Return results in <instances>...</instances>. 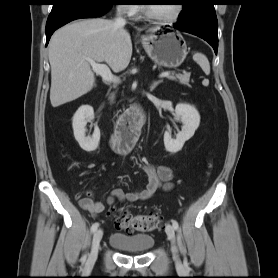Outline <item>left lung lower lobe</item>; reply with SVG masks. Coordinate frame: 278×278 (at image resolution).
<instances>
[{
  "label": "left lung lower lobe",
  "mask_w": 278,
  "mask_h": 278,
  "mask_svg": "<svg viewBox=\"0 0 278 278\" xmlns=\"http://www.w3.org/2000/svg\"><path fill=\"white\" fill-rule=\"evenodd\" d=\"M174 28L206 40L217 54L218 22L216 16L211 15L205 10H200L187 18H181L178 23L174 24Z\"/></svg>",
  "instance_id": "1"
}]
</instances>
